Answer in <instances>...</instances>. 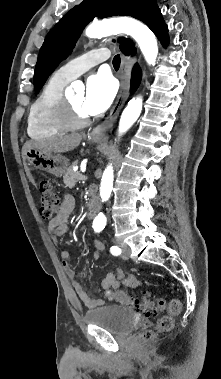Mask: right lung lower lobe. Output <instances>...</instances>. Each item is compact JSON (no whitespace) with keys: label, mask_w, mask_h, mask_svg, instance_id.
I'll list each match as a JSON object with an SVG mask.
<instances>
[{"label":"right lung lower lobe","mask_w":221,"mask_h":379,"mask_svg":"<svg viewBox=\"0 0 221 379\" xmlns=\"http://www.w3.org/2000/svg\"><path fill=\"white\" fill-rule=\"evenodd\" d=\"M141 80V70L138 67V65H135L132 71V78H131V91H134Z\"/></svg>","instance_id":"98d812e1"}]
</instances>
